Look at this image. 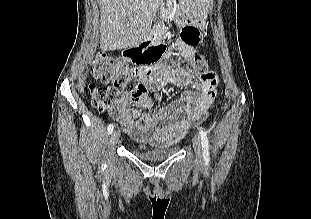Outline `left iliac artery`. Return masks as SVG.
Returning <instances> with one entry per match:
<instances>
[{
  "instance_id": "left-iliac-artery-1",
  "label": "left iliac artery",
  "mask_w": 311,
  "mask_h": 219,
  "mask_svg": "<svg viewBox=\"0 0 311 219\" xmlns=\"http://www.w3.org/2000/svg\"><path fill=\"white\" fill-rule=\"evenodd\" d=\"M199 134L202 143L203 159L206 163H209L210 155H209V141L207 138V133L203 129H200Z\"/></svg>"
}]
</instances>
